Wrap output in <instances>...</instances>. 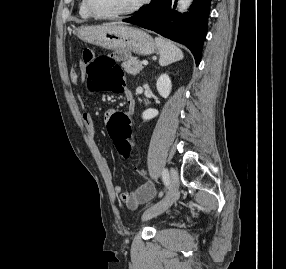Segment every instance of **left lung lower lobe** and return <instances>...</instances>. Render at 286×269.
I'll return each mask as SVG.
<instances>
[{
  "label": "left lung lower lobe",
  "instance_id": "1",
  "mask_svg": "<svg viewBox=\"0 0 286 269\" xmlns=\"http://www.w3.org/2000/svg\"><path fill=\"white\" fill-rule=\"evenodd\" d=\"M211 0H194L189 12L175 11L177 0H152L137 15L124 22L155 31L173 41L186 45L200 63L203 41L207 33Z\"/></svg>",
  "mask_w": 286,
  "mask_h": 269
}]
</instances>
